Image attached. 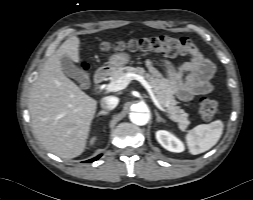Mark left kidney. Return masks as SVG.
<instances>
[{"mask_svg": "<svg viewBox=\"0 0 253 200\" xmlns=\"http://www.w3.org/2000/svg\"><path fill=\"white\" fill-rule=\"evenodd\" d=\"M156 139L168 151L180 153L185 150L183 142L166 130L157 131Z\"/></svg>", "mask_w": 253, "mask_h": 200, "instance_id": "left-kidney-1", "label": "left kidney"}]
</instances>
